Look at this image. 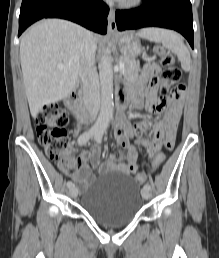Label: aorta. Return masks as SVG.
I'll return each instance as SVG.
<instances>
[{"label": "aorta", "instance_id": "1", "mask_svg": "<svg viewBox=\"0 0 219 258\" xmlns=\"http://www.w3.org/2000/svg\"><path fill=\"white\" fill-rule=\"evenodd\" d=\"M101 86V108L95 123V128L105 131L113 117V66L112 57L106 52L99 63Z\"/></svg>", "mask_w": 219, "mask_h": 258}]
</instances>
